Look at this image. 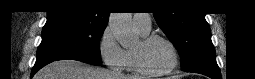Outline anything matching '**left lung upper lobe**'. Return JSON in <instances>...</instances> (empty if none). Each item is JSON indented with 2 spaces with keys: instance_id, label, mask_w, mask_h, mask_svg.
<instances>
[{
  "instance_id": "5c2ea615",
  "label": "left lung upper lobe",
  "mask_w": 255,
  "mask_h": 79,
  "mask_svg": "<svg viewBox=\"0 0 255 79\" xmlns=\"http://www.w3.org/2000/svg\"><path fill=\"white\" fill-rule=\"evenodd\" d=\"M160 9L154 13L157 24L179 51L182 70L218 67L211 32L205 14L188 11H166L170 2L155 1Z\"/></svg>"
}]
</instances>
